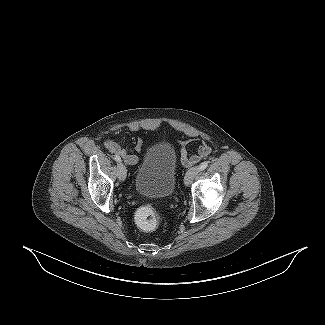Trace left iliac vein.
I'll list each match as a JSON object with an SVG mask.
<instances>
[{
	"label": "left iliac vein",
	"mask_w": 325,
	"mask_h": 325,
	"mask_svg": "<svg viewBox=\"0 0 325 325\" xmlns=\"http://www.w3.org/2000/svg\"><path fill=\"white\" fill-rule=\"evenodd\" d=\"M200 172L199 167H192L189 169L184 177V184L186 186L190 185V183L194 180V178L198 175Z\"/></svg>",
	"instance_id": "4c4485c4"
}]
</instances>
